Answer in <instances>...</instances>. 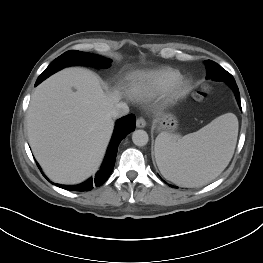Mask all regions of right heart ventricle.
Segmentation results:
<instances>
[{
  "instance_id": "1",
  "label": "right heart ventricle",
  "mask_w": 263,
  "mask_h": 263,
  "mask_svg": "<svg viewBox=\"0 0 263 263\" xmlns=\"http://www.w3.org/2000/svg\"><path fill=\"white\" fill-rule=\"evenodd\" d=\"M181 76V72L172 67L141 71L132 76L129 91L135 98H147L167 91Z\"/></svg>"
}]
</instances>
